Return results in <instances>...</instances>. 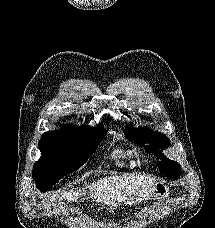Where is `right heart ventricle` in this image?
<instances>
[{
  "mask_svg": "<svg viewBox=\"0 0 215 228\" xmlns=\"http://www.w3.org/2000/svg\"><path fill=\"white\" fill-rule=\"evenodd\" d=\"M112 159L120 166L134 167L136 165L135 151L128 145H116L111 154Z\"/></svg>",
  "mask_w": 215,
  "mask_h": 228,
  "instance_id": "right-heart-ventricle-1",
  "label": "right heart ventricle"
}]
</instances>
